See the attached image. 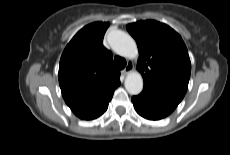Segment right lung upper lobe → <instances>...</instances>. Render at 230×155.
<instances>
[{
    "instance_id": "1",
    "label": "right lung upper lobe",
    "mask_w": 230,
    "mask_h": 155,
    "mask_svg": "<svg viewBox=\"0 0 230 155\" xmlns=\"http://www.w3.org/2000/svg\"><path fill=\"white\" fill-rule=\"evenodd\" d=\"M109 23L95 22L82 28L64 49L59 66L63 98L81 119L88 120L105 111L114 90L120 85V72L112 53L103 46Z\"/></svg>"
}]
</instances>
